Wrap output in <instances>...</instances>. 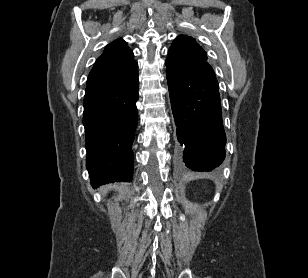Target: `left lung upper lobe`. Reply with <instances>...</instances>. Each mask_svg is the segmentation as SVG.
<instances>
[{"mask_svg": "<svg viewBox=\"0 0 308 278\" xmlns=\"http://www.w3.org/2000/svg\"><path fill=\"white\" fill-rule=\"evenodd\" d=\"M206 61V52L196 43L195 39L187 35H180L169 48L165 65L185 69L207 63Z\"/></svg>", "mask_w": 308, "mask_h": 278, "instance_id": "1", "label": "left lung upper lobe"}]
</instances>
